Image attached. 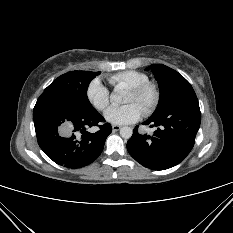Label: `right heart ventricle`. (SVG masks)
I'll use <instances>...</instances> for the list:
<instances>
[{
	"label": "right heart ventricle",
	"instance_id": "1",
	"mask_svg": "<svg viewBox=\"0 0 233 233\" xmlns=\"http://www.w3.org/2000/svg\"><path fill=\"white\" fill-rule=\"evenodd\" d=\"M108 80L114 86L124 85L130 88L149 81V77L140 71L126 70L111 75Z\"/></svg>",
	"mask_w": 233,
	"mask_h": 233
}]
</instances>
